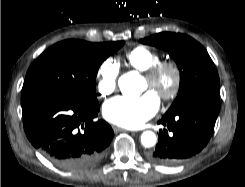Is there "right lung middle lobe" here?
<instances>
[{
    "mask_svg": "<svg viewBox=\"0 0 245 187\" xmlns=\"http://www.w3.org/2000/svg\"><path fill=\"white\" fill-rule=\"evenodd\" d=\"M124 41L89 43L65 40L42 53L27 71L21 102L45 95L74 98L99 105L95 79L101 63Z\"/></svg>",
    "mask_w": 245,
    "mask_h": 187,
    "instance_id": "right-lung-middle-lobe-1",
    "label": "right lung middle lobe"
}]
</instances>
